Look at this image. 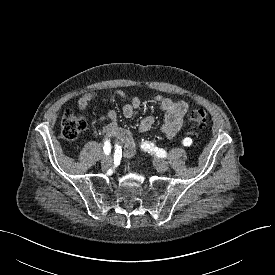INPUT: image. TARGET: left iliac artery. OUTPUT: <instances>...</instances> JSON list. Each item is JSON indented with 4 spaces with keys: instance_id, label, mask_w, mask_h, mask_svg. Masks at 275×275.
Listing matches in <instances>:
<instances>
[{
    "instance_id": "obj_1",
    "label": "left iliac artery",
    "mask_w": 275,
    "mask_h": 275,
    "mask_svg": "<svg viewBox=\"0 0 275 275\" xmlns=\"http://www.w3.org/2000/svg\"><path fill=\"white\" fill-rule=\"evenodd\" d=\"M182 144L184 146L188 147V146H190L192 144V139L190 137H186L185 139H183ZM145 148H149L150 149L151 146L149 144H145Z\"/></svg>"
}]
</instances>
